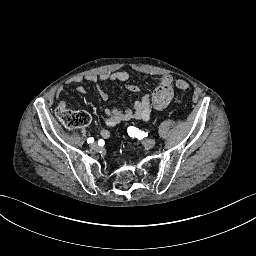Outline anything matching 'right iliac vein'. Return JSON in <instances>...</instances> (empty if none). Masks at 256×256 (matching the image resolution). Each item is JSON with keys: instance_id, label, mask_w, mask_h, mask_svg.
Here are the masks:
<instances>
[{"instance_id": "1", "label": "right iliac vein", "mask_w": 256, "mask_h": 256, "mask_svg": "<svg viewBox=\"0 0 256 256\" xmlns=\"http://www.w3.org/2000/svg\"><path fill=\"white\" fill-rule=\"evenodd\" d=\"M91 148L94 150V151H100L101 147L100 145L97 143V142H94L91 144Z\"/></svg>"}]
</instances>
